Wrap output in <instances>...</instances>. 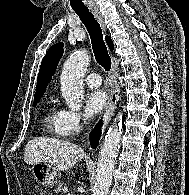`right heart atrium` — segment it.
Returning a JSON list of instances; mask_svg holds the SVG:
<instances>
[{
    "label": "right heart atrium",
    "instance_id": "obj_1",
    "mask_svg": "<svg viewBox=\"0 0 189 195\" xmlns=\"http://www.w3.org/2000/svg\"><path fill=\"white\" fill-rule=\"evenodd\" d=\"M86 121L87 117L79 111L63 110L62 129L66 135L76 134Z\"/></svg>",
    "mask_w": 189,
    "mask_h": 195
}]
</instances>
